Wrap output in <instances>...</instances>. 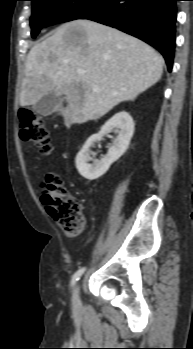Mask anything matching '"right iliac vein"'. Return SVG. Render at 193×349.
Segmentation results:
<instances>
[{
	"mask_svg": "<svg viewBox=\"0 0 193 349\" xmlns=\"http://www.w3.org/2000/svg\"><path fill=\"white\" fill-rule=\"evenodd\" d=\"M79 293H80V286L79 284H76L72 293V305L74 310H78L81 305Z\"/></svg>",
	"mask_w": 193,
	"mask_h": 349,
	"instance_id": "63e3f726",
	"label": "right iliac vein"
}]
</instances>
